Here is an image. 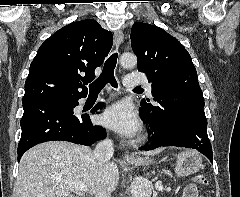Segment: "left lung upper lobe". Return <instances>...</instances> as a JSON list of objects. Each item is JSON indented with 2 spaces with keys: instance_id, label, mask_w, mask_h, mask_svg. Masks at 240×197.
<instances>
[{
  "instance_id": "obj_1",
  "label": "left lung upper lobe",
  "mask_w": 240,
  "mask_h": 197,
  "mask_svg": "<svg viewBox=\"0 0 240 197\" xmlns=\"http://www.w3.org/2000/svg\"><path fill=\"white\" fill-rule=\"evenodd\" d=\"M131 43L138 70L152 83L153 100L158 103L153 106L142 100L141 111L151 113L157 107L171 106L182 95L203 99L191 56L176 38L157 26L136 22Z\"/></svg>"
}]
</instances>
